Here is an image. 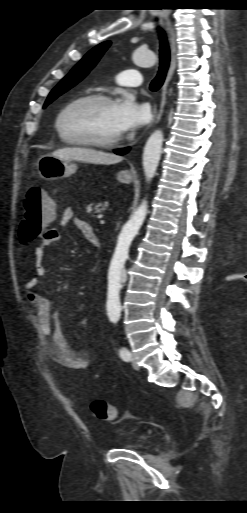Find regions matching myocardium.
I'll return each instance as SVG.
<instances>
[{"mask_svg":"<svg viewBox=\"0 0 247 513\" xmlns=\"http://www.w3.org/2000/svg\"><path fill=\"white\" fill-rule=\"evenodd\" d=\"M87 101H98V102H104V103H115V100L113 97L108 96L106 94L102 93H90L86 95L79 96L75 98L74 100L68 102L65 104L61 110L58 112L56 120H55V128L60 135V137L65 140L69 144L74 145H83V146H92V147H98V148H109L113 147L117 144H119L122 140V136H117L112 139L108 140H93V139H84V138H70L65 135L61 128V121L64 118L66 112L75 104L80 102H87Z\"/></svg>","mask_w":247,"mask_h":513,"instance_id":"f54148a6","label":"myocardium"}]
</instances>
